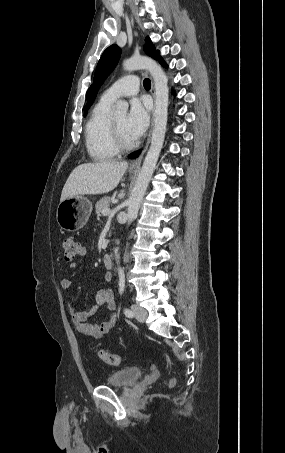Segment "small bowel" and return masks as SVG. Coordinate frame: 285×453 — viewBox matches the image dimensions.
Segmentation results:
<instances>
[{
  "mask_svg": "<svg viewBox=\"0 0 285 453\" xmlns=\"http://www.w3.org/2000/svg\"><path fill=\"white\" fill-rule=\"evenodd\" d=\"M86 253V249L80 247L79 255L85 256ZM69 268L76 269L77 264L74 262L70 263ZM104 279L106 282H111L112 274L106 273ZM61 287L68 292H72L73 290V284L69 279H62ZM102 306L110 312L107 319L97 324L90 323L89 319L97 312L98 308ZM68 308L76 330L87 337L96 339L101 338L114 328L118 320V317L114 312L116 309L114 294L109 289H102L98 291L96 304L89 311H77L71 301L68 302Z\"/></svg>",
  "mask_w": 285,
  "mask_h": 453,
  "instance_id": "1",
  "label": "small bowel"
}]
</instances>
